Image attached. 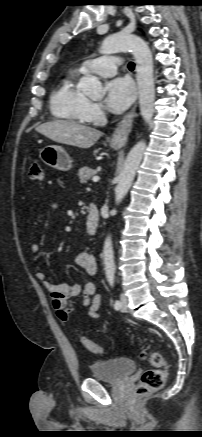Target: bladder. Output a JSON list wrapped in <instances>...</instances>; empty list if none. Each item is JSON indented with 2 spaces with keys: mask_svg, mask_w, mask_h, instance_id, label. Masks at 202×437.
<instances>
[{
  "mask_svg": "<svg viewBox=\"0 0 202 437\" xmlns=\"http://www.w3.org/2000/svg\"><path fill=\"white\" fill-rule=\"evenodd\" d=\"M136 362L127 357L93 362L90 374L93 378L110 383H117L135 372Z\"/></svg>",
  "mask_w": 202,
  "mask_h": 437,
  "instance_id": "obj_1",
  "label": "bladder"
}]
</instances>
